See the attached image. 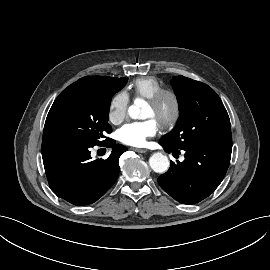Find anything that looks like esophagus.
<instances>
[{
	"label": "esophagus",
	"mask_w": 270,
	"mask_h": 270,
	"mask_svg": "<svg viewBox=\"0 0 270 270\" xmlns=\"http://www.w3.org/2000/svg\"><path fill=\"white\" fill-rule=\"evenodd\" d=\"M133 150L138 153H146L148 151L147 149L142 148H133Z\"/></svg>",
	"instance_id": "esophagus-1"
}]
</instances>
